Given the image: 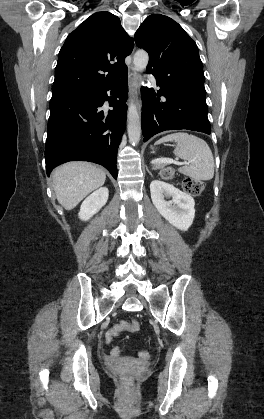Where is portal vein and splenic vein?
<instances>
[{"label": "portal vein and splenic vein", "instance_id": "portal-vein-and-splenic-vein-1", "mask_svg": "<svg viewBox=\"0 0 264 419\" xmlns=\"http://www.w3.org/2000/svg\"><path fill=\"white\" fill-rule=\"evenodd\" d=\"M156 162H158V163H168V164H177V165L187 164L186 162H178L177 160H173V159H169V158H160Z\"/></svg>", "mask_w": 264, "mask_h": 419}]
</instances>
